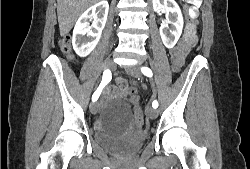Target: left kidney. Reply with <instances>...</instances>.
I'll list each match as a JSON object with an SVG mask.
<instances>
[{
  "label": "left kidney",
  "instance_id": "1",
  "mask_svg": "<svg viewBox=\"0 0 250 169\" xmlns=\"http://www.w3.org/2000/svg\"><path fill=\"white\" fill-rule=\"evenodd\" d=\"M154 10L166 12V20L159 28L160 36L167 48L175 46L181 36L184 20L176 0H152ZM171 24V26H169Z\"/></svg>",
  "mask_w": 250,
  "mask_h": 169
}]
</instances>
